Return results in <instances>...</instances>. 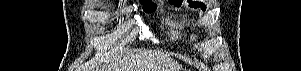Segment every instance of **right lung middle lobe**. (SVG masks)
<instances>
[{"instance_id": "obj_1", "label": "right lung middle lobe", "mask_w": 301, "mask_h": 71, "mask_svg": "<svg viewBox=\"0 0 301 71\" xmlns=\"http://www.w3.org/2000/svg\"><path fill=\"white\" fill-rule=\"evenodd\" d=\"M157 5H147V4H143V10L145 12H152L156 9Z\"/></svg>"}]
</instances>
